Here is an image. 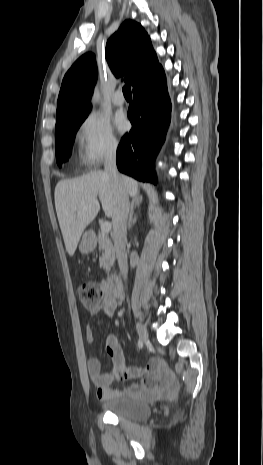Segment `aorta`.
I'll return each instance as SVG.
<instances>
[{
    "mask_svg": "<svg viewBox=\"0 0 263 465\" xmlns=\"http://www.w3.org/2000/svg\"><path fill=\"white\" fill-rule=\"evenodd\" d=\"M99 97H100L99 91L97 89H95L93 97H92V101L93 102L98 101Z\"/></svg>",
    "mask_w": 263,
    "mask_h": 465,
    "instance_id": "obj_1",
    "label": "aorta"
}]
</instances>
